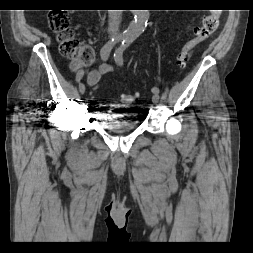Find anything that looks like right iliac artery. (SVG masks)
Instances as JSON below:
<instances>
[{
    "label": "right iliac artery",
    "instance_id": "1",
    "mask_svg": "<svg viewBox=\"0 0 253 253\" xmlns=\"http://www.w3.org/2000/svg\"><path fill=\"white\" fill-rule=\"evenodd\" d=\"M121 40L120 37H115V38H112L111 40H109L102 48H101V51H100V55H101V59L103 61H106L109 56H110V53L113 49V47L115 46V44L117 42H119ZM85 77V74H84V71L83 70H80L79 73L76 74V77H75V80L76 81H81L82 78Z\"/></svg>",
    "mask_w": 253,
    "mask_h": 253
}]
</instances>
